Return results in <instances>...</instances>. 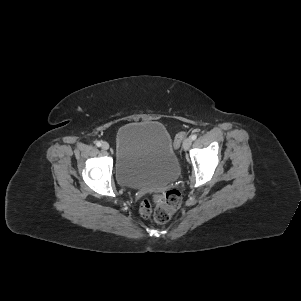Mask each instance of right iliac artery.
<instances>
[{"label":"right iliac artery","instance_id":"82829eb1","mask_svg":"<svg viewBox=\"0 0 301 301\" xmlns=\"http://www.w3.org/2000/svg\"><path fill=\"white\" fill-rule=\"evenodd\" d=\"M101 145H102V144H101L100 141H97V142H96V146H97V147H100Z\"/></svg>","mask_w":301,"mask_h":301}]
</instances>
